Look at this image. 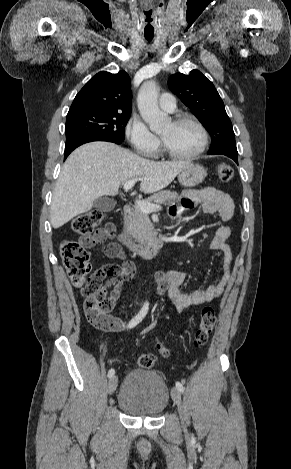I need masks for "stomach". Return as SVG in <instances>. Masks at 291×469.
<instances>
[{
  "label": "stomach",
  "mask_w": 291,
  "mask_h": 469,
  "mask_svg": "<svg viewBox=\"0 0 291 469\" xmlns=\"http://www.w3.org/2000/svg\"><path fill=\"white\" fill-rule=\"evenodd\" d=\"M206 169L199 164H189L178 175L180 184L187 188L195 187L200 184L206 177Z\"/></svg>",
  "instance_id": "obj_1"
}]
</instances>
